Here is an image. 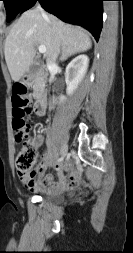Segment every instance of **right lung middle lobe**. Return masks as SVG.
Instances as JSON below:
<instances>
[{
    "label": "right lung middle lobe",
    "instance_id": "right-lung-middle-lobe-1",
    "mask_svg": "<svg viewBox=\"0 0 133 253\" xmlns=\"http://www.w3.org/2000/svg\"><path fill=\"white\" fill-rule=\"evenodd\" d=\"M7 10V22L13 20L20 13L26 0H2Z\"/></svg>",
    "mask_w": 133,
    "mask_h": 253
}]
</instances>
